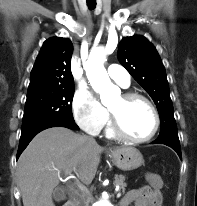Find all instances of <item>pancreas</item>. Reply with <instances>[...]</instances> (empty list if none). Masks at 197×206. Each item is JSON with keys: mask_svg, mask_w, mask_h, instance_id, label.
Segmentation results:
<instances>
[{"mask_svg": "<svg viewBox=\"0 0 197 206\" xmlns=\"http://www.w3.org/2000/svg\"><path fill=\"white\" fill-rule=\"evenodd\" d=\"M125 176L123 175H116L114 185H119L120 188L124 191L127 184L124 182ZM90 201V195L89 194H82L76 201V206H88Z\"/></svg>", "mask_w": 197, "mask_h": 206, "instance_id": "obj_1", "label": "pancreas"}]
</instances>
